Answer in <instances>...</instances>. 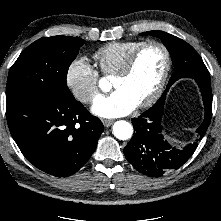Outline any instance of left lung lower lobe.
Segmentation results:
<instances>
[{
    "label": "left lung lower lobe",
    "mask_w": 221,
    "mask_h": 221,
    "mask_svg": "<svg viewBox=\"0 0 221 221\" xmlns=\"http://www.w3.org/2000/svg\"><path fill=\"white\" fill-rule=\"evenodd\" d=\"M202 93L205 118L197 129L198 139L183 149L172 147L162 136L161 118L169 87L160 99L141 116L132 119L134 135L124 148L126 159L140 173L160 177L181 167L194 153L211 121L212 91L210 82L195 79Z\"/></svg>",
    "instance_id": "left-lung-lower-lobe-1"
}]
</instances>
